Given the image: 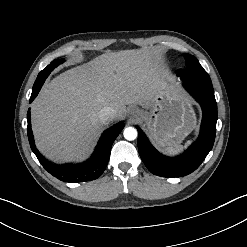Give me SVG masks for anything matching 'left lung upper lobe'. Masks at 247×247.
<instances>
[{"mask_svg":"<svg viewBox=\"0 0 247 247\" xmlns=\"http://www.w3.org/2000/svg\"><path fill=\"white\" fill-rule=\"evenodd\" d=\"M184 56L187 68L179 74L180 78L188 81L212 83L208 73L200 65L196 57L190 54H184Z\"/></svg>","mask_w":247,"mask_h":247,"instance_id":"obj_1","label":"left lung upper lobe"}]
</instances>
